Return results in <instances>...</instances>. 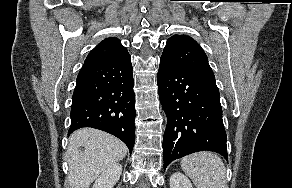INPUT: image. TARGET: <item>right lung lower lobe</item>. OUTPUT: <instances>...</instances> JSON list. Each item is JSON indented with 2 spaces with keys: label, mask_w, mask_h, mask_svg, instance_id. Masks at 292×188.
<instances>
[{
  "label": "right lung lower lobe",
  "mask_w": 292,
  "mask_h": 188,
  "mask_svg": "<svg viewBox=\"0 0 292 188\" xmlns=\"http://www.w3.org/2000/svg\"><path fill=\"white\" fill-rule=\"evenodd\" d=\"M130 55L107 61H85L73 93L71 127L108 132L128 147L135 142V97Z\"/></svg>",
  "instance_id": "obj_1"
}]
</instances>
